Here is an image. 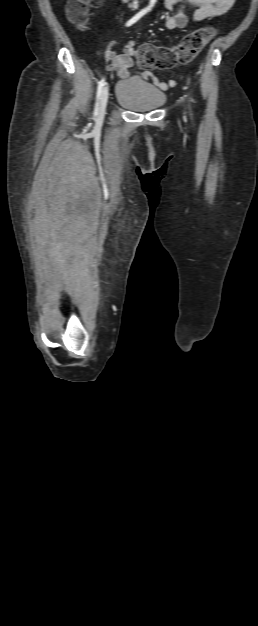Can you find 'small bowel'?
<instances>
[{
    "label": "small bowel",
    "instance_id": "small-bowel-1",
    "mask_svg": "<svg viewBox=\"0 0 258 626\" xmlns=\"http://www.w3.org/2000/svg\"><path fill=\"white\" fill-rule=\"evenodd\" d=\"M234 3L235 0H164V8L169 12L166 27L171 30H183L191 23L225 14L233 7ZM175 6H179L177 12H174ZM186 8L195 9L192 16H188L184 12ZM104 57L108 62L109 70L116 71L122 78L128 75V68L131 64L128 51H116L109 46L105 50ZM142 77L145 80H151L161 90L176 86L175 80L164 82L149 71L143 72Z\"/></svg>",
    "mask_w": 258,
    "mask_h": 626
}]
</instances>
